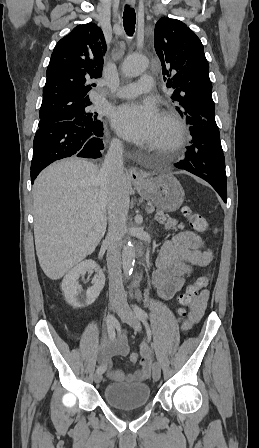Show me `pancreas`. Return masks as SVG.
<instances>
[{"instance_id": "pancreas-1", "label": "pancreas", "mask_w": 259, "mask_h": 448, "mask_svg": "<svg viewBox=\"0 0 259 448\" xmlns=\"http://www.w3.org/2000/svg\"><path fill=\"white\" fill-rule=\"evenodd\" d=\"M155 217L160 218V224H164L165 230H175V232H177V230H184L185 228L183 222L178 224L177 220H173V218H170V216H167L164 212H160V210H157Z\"/></svg>"}]
</instances>
